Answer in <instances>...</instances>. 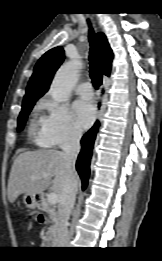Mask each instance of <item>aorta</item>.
Returning <instances> with one entry per match:
<instances>
[{
    "mask_svg": "<svg viewBox=\"0 0 162 261\" xmlns=\"http://www.w3.org/2000/svg\"><path fill=\"white\" fill-rule=\"evenodd\" d=\"M82 64L79 61H70L56 72L50 91L56 101L65 102L70 98L71 90L78 79V72Z\"/></svg>",
    "mask_w": 162,
    "mask_h": 261,
    "instance_id": "aorta-1",
    "label": "aorta"
}]
</instances>
